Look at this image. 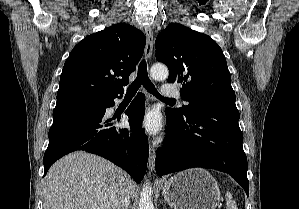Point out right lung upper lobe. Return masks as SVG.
Returning a JSON list of instances; mask_svg holds the SVG:
<instances>
[{
	"instance_id": "obj_1",
	"label": "right lung upper lobe",
	"mask_w": 299,
	"mask_h": 209,
	"mask_svg": "<svg viewBox=\"0 0 299 209\" xmlns=\"http://www.w3.org/2000/svg\"><path fill=\"white\" fill-rule=\"evenodd\" d=\"M145 35L119 23L80 41L67 58L57 92L64 99L103 100L123 94V85L143 55Z\"/></svg>"
}]
</instances>
